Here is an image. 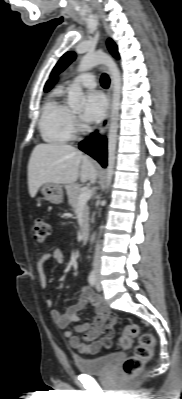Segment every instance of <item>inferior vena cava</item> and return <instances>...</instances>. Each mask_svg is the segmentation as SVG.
Here are the masks:
<instances>
[{"mask_svg":"<svg viewBox=\"0 0 182 399\" xmlns=\"http://www.w3.org/2000/svg\"><path fill=\"white\" fill-rule=\"evenodd\" d=\"M99 267H100V244L97 242L96 247H95L93 268H94V270L98 271Z\"/></svg>","mask_w":182,"mask_h":399,"instance_id":"602c4592","label":"inferior vena cava"}]
</instances>
